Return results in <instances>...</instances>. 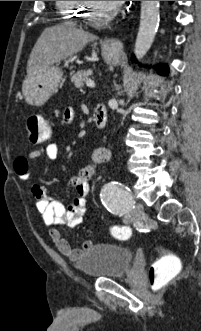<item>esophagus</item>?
Listing matches in <instances>:
<instances>
[{
  "label": "esophagus",
  "mask_w": 201,
  "mask_h": 331,
  "mask_svg": "<svg viewBox=\"0 0 201 331\" xmlns=\"http://www.w3.org/2000/svg\"><path fill=\"white\" fill-rule=\"evenodd\" d=\"M105 47L112 52H122L123 51V44L120 40L116 38H109L104 42Z\"/></svg>",
  "instance_id": "34e87169"
}]
</instances>
